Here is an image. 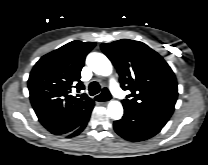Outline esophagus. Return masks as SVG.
Returning a JSON list of instances; mask_svg holds the SVG:
<instances>
[{"label":"esophagus","mask_w":208,"mask_h":165,"mask_svg":"<svg viewBox=\"0 0 208 165\" xmlns=\"http://www.w3.org/2000/svg\"><path fill=\"white\" fill-rule=\"evenodd\" d=\"M111 98V97H110ZM96 100V99H95ZM110 101V99L109 100H107V101H100V102H98V103H101V104H104V103H108Z\"/></svg>","instance_id":"obj_1"}]
</instances>
